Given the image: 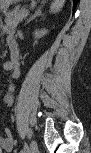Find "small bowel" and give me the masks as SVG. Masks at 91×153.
Here are the masks:
<instances>
[{
  "label": "small bowel",
  "instance_id": "small-bowel-1",
  "mask_svg": "<svg viewBox=\"0 0 91 153\" xmlns=\"http://www.w3.org/2000/svg\"><path fill=\"white\" fill-rule=\"evenodd\" d=\"M15 70H11L10 71V77L13 78L15 75ZM14 86L13 84H9L8 85V94L5 96V104L7 106H10L12 104V92H13ZM0 146L3 150L10 152L12 151L13 147H14V141L12 138V135L10 133V131L8 129L5 130L4 136L0 138Z\"/></svg>",
  "mask_w": 91,
  "mask_h": 153
}]
</instances>
